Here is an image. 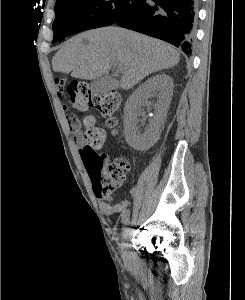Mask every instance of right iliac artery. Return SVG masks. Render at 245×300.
<instances>
[{"label": "right iliac artery", "instance_id": "right-iliac-artery-1", "mask_svg": "<svg viewBox=\"0 0 245 300\" xmlns=\"http://www.w3.org/2000/svg\"><path fill=\"white\" fill-rule=\"evenodd\" d=\"M130 216V210L127 209L122 213V222L126 223Z\"/></svg>", "mask_w": 245, "mask_h": 300}]
</instances>
